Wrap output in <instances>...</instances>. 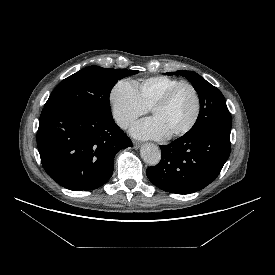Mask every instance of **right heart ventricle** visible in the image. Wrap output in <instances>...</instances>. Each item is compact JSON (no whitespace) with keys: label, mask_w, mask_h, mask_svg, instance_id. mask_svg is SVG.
I'll use <instances>...</instances> for the list:
<instances>
[{"label":"right heart ventricle","mask_w":275,"mask_h":275,"mask_svg":"<svg viewBox=\"0 0 275 275\" xmlns=\"http://www.w3.org/2000/svg\"><path fill=\"white\" fill-rule=\"evenodd\" d=\"M181 83L180 80L164 75L139 80L136 89L142 104L150 109L170 88Z\"/></svg>","instance_id":"1"}]
</instances>
